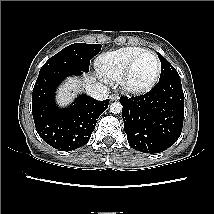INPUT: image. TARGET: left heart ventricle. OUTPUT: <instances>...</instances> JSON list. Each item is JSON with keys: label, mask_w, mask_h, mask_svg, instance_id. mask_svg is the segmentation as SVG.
I'll list each match as a JSON object with an SVG mask.
<instances>
[{"label": "left heart ventricle", "mask_w": 214, "mask_h": 214, "mask_svg": "<svg viewBox=\"0 0 214 214\" xmlns=\"http://www.w3.org/2000/svg\"><path fill=\"white\" fill-rule=\"evenodd\" d=\"M157 62L153 55H144L135 65L131 76L134 85H143L149 82L155 75Z\"/></svg>", "instance_id": "1"}]
</instances>
